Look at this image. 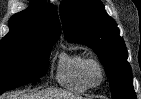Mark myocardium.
Instances as JSON below:
<instances>
[{
    "mask_svg": "<svg viewBox=\"0 0 141 99\" xmlns=\"http://www.w3.org/2000/svg\"><path fill=\"white\" fill-rule=\"evenodd\" d=\"M92 66H95L100 72V79L98 82H93L89 76V70ZM82 75H83L85 82L90 87H97L100 84H102V82L104 81L106 73H105V68H104L102 62L99 59L87 58L83 64V67H82Z\"/></svg>",
    "mask_w": 141,
    "mask_h": 99,
    "instance_id": "f54148a6",
    "label": "myocardium"
}]
</instances>
